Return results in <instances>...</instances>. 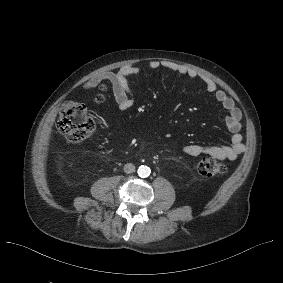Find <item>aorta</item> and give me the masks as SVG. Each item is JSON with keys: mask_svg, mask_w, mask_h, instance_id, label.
Listing matches in <instances>:
<instances>
[{"mask_svg": "<svg viewBox=\"0 0 283 283\" xmlns=\"http://www.w3.org/2000/svg\"><path fill=\"white\" fill-rule=\"evenodd\" d=\"M138 175L140 176V177H143V178H145V177H148L149 175H150V173H151V170H150V168L148 167V166H145V165H141L139 168H138Z\"/></svg>", "mask_w": 283, "mask_h": 283, "instance_id": "aorta-1", "label": "aorta"}]
</instances>
